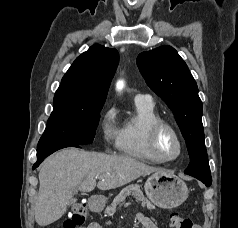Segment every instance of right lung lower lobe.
Segmentation results:
<instances>
[{
  "mask_svg": "<svg viewBox=\"0 0 238 228\" xmlns=\"http://www.w3.org/2000/svg\"><path fill=\"white\" fill-rule=\"evenodd\" d=\"M66 147H80L77 144H66V145H58V146H49V147H39L37 148V162L33 165V169L37 168L39 164L50 154L55 151L66 148Z\"/></svg>",
  "mask_w": 238,
  "mask_h": 228,
  "instance_id": "98d812e1",
  "label": "right lung lower lobe"
}]
</instances>
